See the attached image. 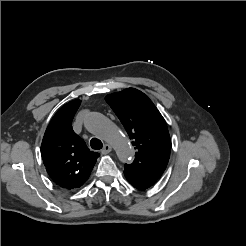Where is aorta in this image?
Returning <instances> with one entry per match:
<instances>
[{
    "label": "aorta",
    "mask_w": 246,
    "mask_h": 246,
    "mask_svg": "<svg viewBox=\"0 0 246 246\" xmlns=\"http://www.w3.org/2000/svg\"><path fill=\"white\" fill-rule=\"evenodd\" d=\"M84 125L88 131L101 137L116 151L119 160L123 163L132 161L134 151L123 132L104 115L98 112H90Z\"/></svg>",
    "instance_id": "762f6f07"
}]
</instances>
